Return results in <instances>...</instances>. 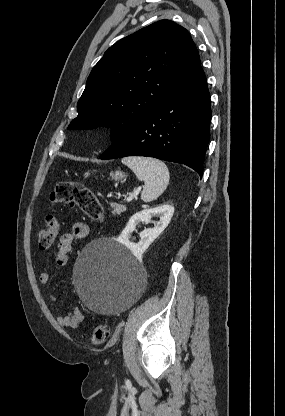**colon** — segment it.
<instances>
[{
	"label": "colon",
	"instance_id": "obj_1",
	"mask_svg": "<svg viewBox=\"0 0 285 416\" xmlns=\"http://www.w3.org/2000/svg\"><path fill=\"white\" fill-rule=\"evenodd\" d=\"M53 204H69L78 207L88 218L93 221H101L104 209L97 195L84 184L76 181H61L56 184L50 194ZM60 224L55 214L50 213L46 217V224L38 235V248L47 250L50 248L59 233ZM110 332L108 323L98 324L89 335V341L98 345L103 343Z\"/></svg>",
	"mask_w": 285,
	"mask_h": 416
}]
</instances>
